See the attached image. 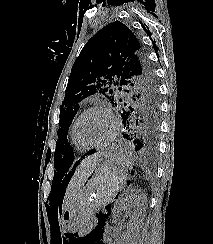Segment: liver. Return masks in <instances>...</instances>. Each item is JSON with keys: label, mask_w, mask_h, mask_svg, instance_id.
I'll return each instance as SVG.
<instances>
[{"label": "liver", "mask_w": 213, "mask_h": 244, "mask_svg": "<svg viewBox=\"0 0 213 244\" xmlns=\"http://www.w3.org/2000/svg\"><path fill=\"white\" fill-rule=\"evenodd\" d=\"M106 153H95L87 158H85L80 165L76 168L65 194L63 201V210L67 209L70 201L73 199L79 188L87 181V179L93 173L96 168L100 158Z\"/></svg>", "instance_id": "6515ba94"}]
</instances>
